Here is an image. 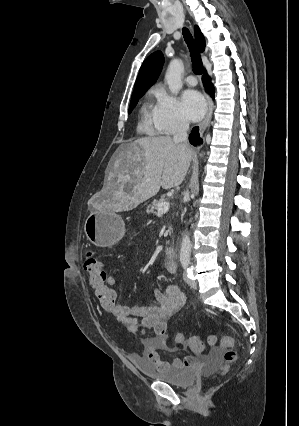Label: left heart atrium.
<instances>
[{"mask_svg": "<svg viewBox=\"0 0 299 426\" xmlns=\"http://www.w3.org/2000/svg\"><path fill=\"white\" fill-rule=\"evenodd\" d=\"M184 114L190 121L200 120L206 112V102L196 90H187L182 95Z\"/></svg>", "mask_w": 299, "mask_h": 426, "instance_id": "left-heart-atrium-1", "label": "left heart atrium"}]
</instances>
